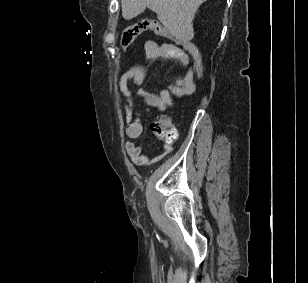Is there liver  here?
<instances>
[{"instance_id": "liver-1", "label": "liver", "mask_w": 308, "mask_h": 283, "mask_svg": "<svg viewBox=\"0 0 308 283\" xmlns=\"http://www.w3.org/2000/svg\"><path fill=\"white\" fill-rule=\"evenodd\" d=\"M207 0H121L122 16L131 20L149 8L179 42L193 39L192 21L199 6Z\"/></svg>"}]
</instances>
